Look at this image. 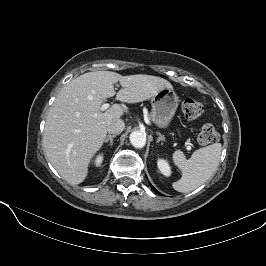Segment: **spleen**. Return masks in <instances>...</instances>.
I'll return each mask as SVG.
<instances>
[{"mask_svg":"<svg viewBox=\"0 0 266 266\" xmlns=\"http://www.w3.org/2000/svg\"><path fill=\"white\" fill-rule=\"evenodd\" d=\"M222 146L220 143L196 150L191 158L177 150L173 153V162L181 170L182 177L172 184L178 192L188 193L212 177L219 165Z\"/></svg>","mask_w":266,"mask_h":266,"instance_id":"3e777b00","label":"spleen"}]
</instances>
